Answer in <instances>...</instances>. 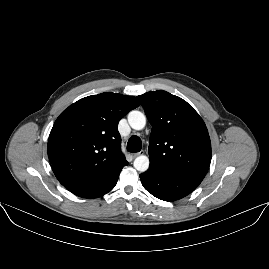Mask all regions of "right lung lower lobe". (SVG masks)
<instances>
[{
  "mask_svg": "<svg viewBox=\"0 0 269 269\" xmlns=\"http://www.w3.org/2000/svg\"><path fill=\"white\" fill-rule=\"evenodd\" d=\"M128 164L127 161L121 163L113 171L104 177L94 180L76 182L65 187L73 194L83 198H97L112 190L119 178V174L124 166Z\"/></svg>",
  "mask_w": 269,
  "mask_h": 269,
  "instance_id": "obj_1",
  "label": "right lung lower lobe"
}]
</instances>
